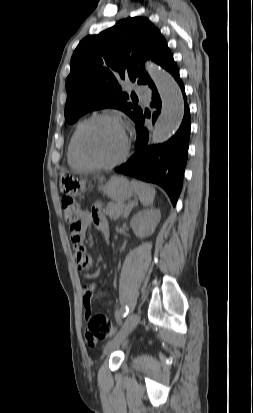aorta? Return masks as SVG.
<instances>
[{"label": "aorta", "instance_id": "1", "mask_svg": "<svg viewBox=\"0 0 253 413\" xmlns=\"http://www.w3.org/2000/svg\"><path fill=\"white\" fill-rule=\"evenodd\" d=\"M162 101L161 113L150 136L151 144L169 140L178 130L184 116V100L179 86L173 77L157 66L147 67Z\"/></svg>", "mask_w": 253, "mask_h": 413}]
</instances>
